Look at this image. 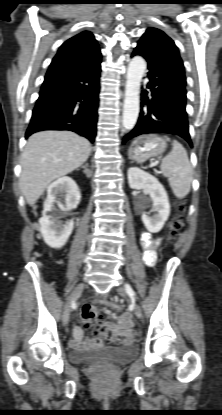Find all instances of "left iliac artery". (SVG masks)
<instances>
[{"instance_id": "1", "label": "left iliac artery", "mask_w": 222, "mask_h": 415, "mask_svg": "<svg viewBox=\"0 0 222 415\" xmlns=\"http://www.w3.org/2000/svg\"><path fill=\"white\" fill-rule=\"evenodd\" d=\"M126 291H127L129 296H131V297L135 296V292L133 291V289L129 285H126Z\"/></svg>"}]
</instances>
